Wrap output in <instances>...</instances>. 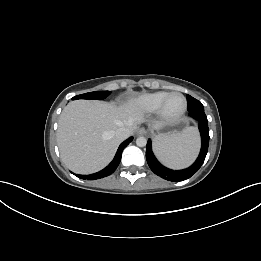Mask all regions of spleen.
Listing matches in <instances>:
<instances>
[{
  "label": "spleen",
  "instance_id": "spleen-1",
  "mask_svg": "<svg viewBox=\"0 0 261 261\" xmlns=\"http://www.w3.org/2000/svg\"><path fill=\"white\" fill-rule=\"evenodd\" d=\"M154 150L159 160L173 169L190 165L199 150V137L195 127H187L182 132L156 137Z\"/></svg>",
  "mask_w": 261,
  "mask_h": 261
}]
</instances>
